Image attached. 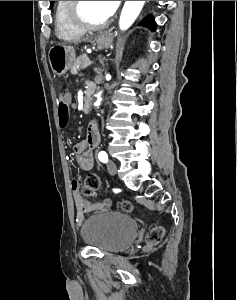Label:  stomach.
<instances>
[{
    "instance_id": "stomach-1",
    "label": "stomach",
    "mask_w": 237,
    "mask_h": 300,
    "mask_svg": "<svg viewBox=\"0 0 237 300\" xmlns=\"http://www.w3.org/2000/svg\"><path fill=\"white\" fill-rule=\"evenodd\" d=\"M112 37V33L103 31V33H94L89 39H95V43L100 49H109L113 43ZM48 59L53 73L61 77L72 67V63L76 59V53L73 47H64V45L58 47L56 45V47L49 49Z\"/></svg>"
}]
</instances>
